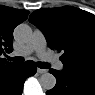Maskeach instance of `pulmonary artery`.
Instances as JSON below:
<instances>
[{
	"instance_id": "pulmonary-artery-1",
	"label": "pulmonary artery",
	"mask_w": 95,
	"mask_h": 95,
	"mask_svg": "<svg viewBox=\"0 0 95 95\" xmlns=\"http://www.w3.org/2000/svg\"><path fill=\"white\" fill-rule=\"evenodd\" d=\"M45 48V36L42 31L36 29L30 41L20 51L14 52L13 55L28 56L33 51H36L39 57L47 59L49 55L45 52ZM51 63L56 69L61 70L63 68V64L57 59H51Z\"/></svg>"
}]
</instances>
